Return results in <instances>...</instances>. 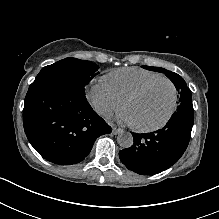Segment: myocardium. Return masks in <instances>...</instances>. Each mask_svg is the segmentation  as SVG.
<instances>
[{"label":"myocardium","instance_id":"obj_1","mask_svg":"<svg viewBox=\"0 0 219 219\" xmlns=\"http://www.w3.org/2000/svg\"><path fill=\"white\" fill-rule=\"evenodd\" d=\"M159 82H167L168 84H170L171 88H172V102L170 104V107L165 115V117L162 119L161 122H159L158 124H155L153 126H138V125H134V128L140 132H151V131H155L158 129H161L162 127H164L167 122L170 120V118L172 117V114L176 108V104H177V88L175 86V84L168 78L166 77H160L157 79H153L150 80L146 83H144L143 85H141L140 87H138L136 90H134L133 92H131L124 100L123 102V107L126 110L128 103L137 98L138 96H140L142 93H144L148 88H150L151 86L155 85L156 83Z\"/></svg>","mask_w":219,"mask_h":219}]
</instances>
